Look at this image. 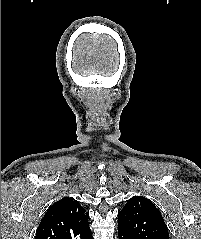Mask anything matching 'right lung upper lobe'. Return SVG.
I'll return each mask as SVG.
<instances>
[{
	"label": "right lung upper lobe",
	"instance_id": "right-lung-upper-lobe-1",
	"mask_svg": "<svg viewBox=\"0 0 201 239\" xmlns=\"http://www.w3.org/2000/svg\"><path fill=\"white\" fill-rule=\"evenodd\" d=\"M89 214L72 197H65L49 207L35 239H91Z\"/></svg>",
	"mask_w": 201,
	"mask_h": 239
}]
</instances>
